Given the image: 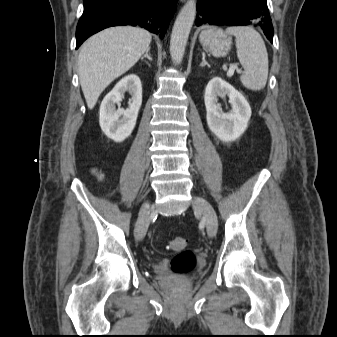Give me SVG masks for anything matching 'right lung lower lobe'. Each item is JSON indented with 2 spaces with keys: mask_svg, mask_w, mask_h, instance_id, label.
<instances>
[{
  "mask_svg": "<svg viewBox=\"0 0 337 337\" xmlns=\"http://www.w3.org/2000/svg\"><path fill=\"white\" fill-rule=\"evenodd\" d=\"M84 12L76 29V48L107 27L132 25L164 37L176 10V0H83Z\"/></svg>",
  "mask_w": 337,
  "mask_h": 337,
  "instance_id": "right-lung-lower-lobe-1",
  "label": "right lung lower lobe"
}]
</instances>
